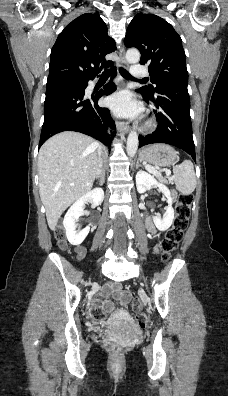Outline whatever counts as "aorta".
<instances>
[{
    "label": "aorta",
    "mask_w": 228,
    "mask_h": 396,
    "mask_svg": "<svg viewBox=\"0 0 228 396\" xmlns=\"http://www.w3.org/2000/svg\"><path fill=\"white\" fill-rule=\"evenodd\" d=\"M126 60L129 63H137L140 60V53L136 49H129L126 52ZM138 134L135 130H132L127 139V146H126V151L128 156L133 157L136 154L137 148H138Z\"/></svg>",
    "instance_id": "obj_1"
}]
</instances>
